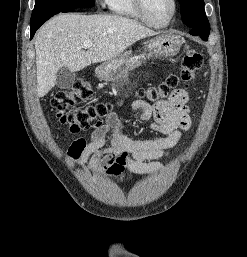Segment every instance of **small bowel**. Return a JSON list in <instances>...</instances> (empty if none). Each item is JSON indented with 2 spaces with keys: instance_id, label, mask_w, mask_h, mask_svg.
Listing matches in <instances>:
<instances>
[{
  "instance_id": "1",
  "label": "small bowel",
  "mask_w": 247,
  "mask_h": 257,
  "mask_svg": "<svg viewBox=\"0 0 247 257\" xmlns=\"http://www.w3.org/2000/svg\"><path fill=\"white\" fill-rule=\"evenodd\" d=\"M188 93L173 90L165 100L149 104L144 100L133 102L142 123L163 134L151 140H134L121 132V119L115 112L97 122L89 139L77 138L68 149V156L78 165L89 168L104 176L123 177L126 172L145 175L163 169L158 162L169 156V151L179 141L182 131L191 127ZM110 146L106 147L107 139Z\"/></svg>"
}]
</instances>
